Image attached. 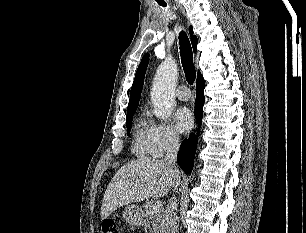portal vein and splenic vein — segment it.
I'll return each instance as SVG.
<instances>
[{
  "label": "portal vein and splenic vein",
  "instance_id": "portal-vein-and-splenic-vein-1",
  "mask_svg": "<svg viewBox=\"0 0 306 233\" xmlns=\"http://www.w3.org/2000/svg\"><path fill=\"white\" fill-rule=\"evenodd\" d=\"M162 208H163V205L161 201H156L152 206L153 212H159Z\"/></svg>",
  "mask_w": 306,
  "mask_h": 233
}]
</instances>
